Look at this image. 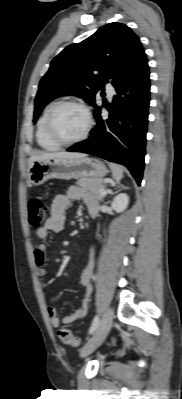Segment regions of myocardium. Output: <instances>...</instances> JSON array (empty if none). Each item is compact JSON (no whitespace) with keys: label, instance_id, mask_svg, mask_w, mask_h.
<instances>
[{"label":"myocardium","instance_id":"f54148a6","mask_svg":"<svg viewBox=\"0 0 182 399\" xmlns=\"http://www.w3.org/2000/svg\"><path fill=\"white\" fill-rule=\"evenodd\" d=\"M64 106H76V107L80 108L86 116V119H87L86 128H85L84 132L79 137H77L75 139H71V140L62 139L58 136V134L55 131L54 117H55L56 113L58 112V110ZM93 125H94V120H93V116H92V113H91V110L89 109V107L82 101L69 99V100L59 101L51 108V110L48 114V117H47L46 128H47V133H48L49 137L54 142H56L60 146H68V145H73V144H77V143L84 141L91 133Z\"/></svg>","mask_w":182,"mask_h":399}]
</instances>
